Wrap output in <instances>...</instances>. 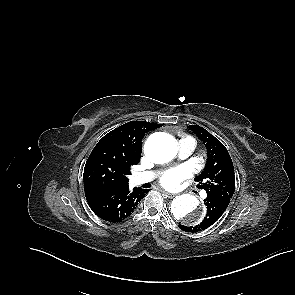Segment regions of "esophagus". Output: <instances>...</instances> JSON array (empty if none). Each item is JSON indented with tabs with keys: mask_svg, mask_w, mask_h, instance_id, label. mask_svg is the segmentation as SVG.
<instances>
[{
	"mask_svg": "<svg viewBox=\"0 0 295 295\" xmlns=\"http://www.w3.org/2000/svg\"><path fill=\"white\" fill-rule=\"evenodd\" d=\"M162 193H163V195H165V196L168 197V198H173V197H175V194H173V193H168V192H166V191H162Z\"/></svg>",
	"mask_w": 295,
	"mask_h": 295,
	"instance_id": "34e87169",
	"label": "esophagus"
}]
</instances>
